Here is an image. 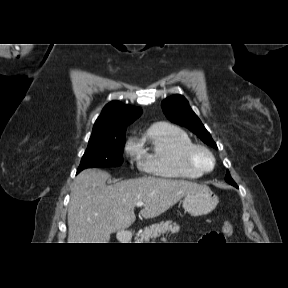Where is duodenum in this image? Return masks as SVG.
<instances>
[{
	"instance_id": "obj_1",
	"label": "duodenum",
	"mask_w": 288,
	"mask_h": 288,
	"mask_svg": "<svg viewBox=\"0 0 288 288\" xmlns=\"http://www.w3.org/2000/svg\"><path fill=\"white\" fill-rule=\"evenodd\" d=\"M131 240L132 235L130 233L123 231L119 234V241L121 243H129Z\"/></svg>"
}]
</instances>
